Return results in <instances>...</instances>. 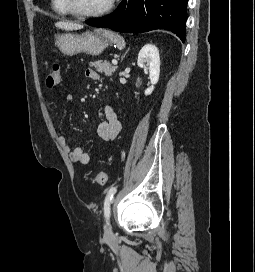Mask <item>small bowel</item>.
I'll return each instance as SVG.
<instances>
[{"label":"small bowel","instance_id":"1","mask_svg":"<svg viewBox=\"0 0 255 272\" xmlns=\"http://www.w3.org/2000/svg\"><path fill=\"white\" fill-rule=\"evenodd\" d=\"M85 74L87 78L94 81H100L102 79L100 73L93 69H87ZM72 98V94H69L67 96L68 100H71ZM102 112L104 115V120L101 121L97 127V135L103 141H113L118 136L121 130V122L118 118V114L115 109L110 105L103 106ZM60 143L64 150L68 152L69 157L73 163L82 165L89 163V155L87 152H85L83 148L72 147L69 144L68 139L64 136L60 137Z\"/></svg>","mask_w":255,"mask_h":272}]
</instances>
